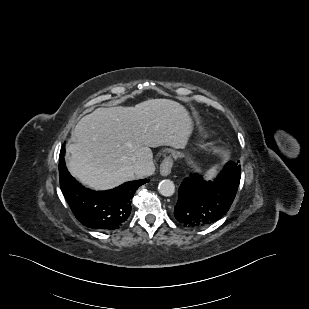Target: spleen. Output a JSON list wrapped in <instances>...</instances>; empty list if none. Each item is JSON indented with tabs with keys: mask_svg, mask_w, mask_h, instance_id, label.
I'll list each match as a JSON object with an SVG mask.
<instances>
[{
	"mask_svg": "<svg viewBox=\"0 0 309 309\" xmlns=\"http://www.w3.org/2000/svg\"><path fill=\"white\" fill-rule=\"evenodd\" d=\"M216 169H217V166L211 168L210 170H208L206 175L209 176V178H212V176H214V174L216 173Z\"/></svg>",
	"mask_w": 309,
	"mask_h": 309,
	"instance_id": "1",
	"label": "spleen"
}]
</instances>
